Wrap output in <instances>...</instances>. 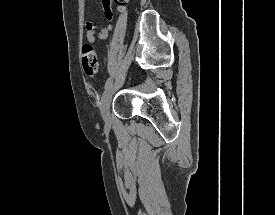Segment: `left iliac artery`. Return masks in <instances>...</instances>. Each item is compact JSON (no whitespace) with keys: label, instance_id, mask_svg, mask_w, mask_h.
<instances>
[{"label":"left iliac artery","instance_id":"1","mask_svg":"<svg viewBox=\"0 0 275 215\" xmlns=\"http://www.w3.org/2000/svg\"><path fill=\"white\" fill-rule=\"evenodd\" d=\"M111 83H112V79L108 78L106 83H105V90H107L111 86Z\"/></svg>","mask_w":275,"mask_h":215}]
</instances>
